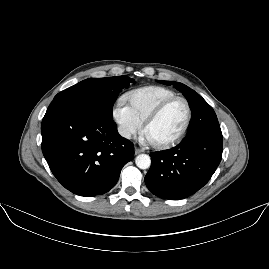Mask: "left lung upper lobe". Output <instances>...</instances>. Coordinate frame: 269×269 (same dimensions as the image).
Segmentation results:
<instances>
[{
	"label": "left lung upper lobe",
	"mask_w": 269,
	"mask_h": 269,
	"mask_svg": "<svg viewBox=\"0 0 269 269\" xmlns=\"http://www.w3.org/2000/svg\"><path fill=\"white\" fill-rule=\"evenodd\" d=\"M166 85H172L180 90L190 103L192 110V122L190 128L183 139L184 141L204 134H221V129L217 120V116L213 108L194 90L188 86L173 81H159Z\"/></svg>",
	"instance_id": "left-lung-upper-lobe-1"
}]
</instances>
